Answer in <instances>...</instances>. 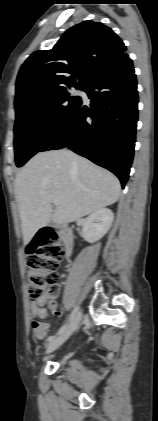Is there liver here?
I'll use <instances>...</instances> for the list:
<instances>
[{
  "label": "liver",
  "instance_id": "obj_1",
  "mask_svg": "<svg viewBox=\"0 0 158 421\" xmlns=\"http://www.w3.org/2000/svg\"><path fill=\"white\" fill-rule=\"evenodd\" d=\"M120 192L115 175L72 151L37 153L15 180L24 245L50 222H74L115 203ZM54 200H59L55 210Z\"/></svg>",
  "mask_w": 158,
  "mask_h": 421
}]
</instances>
